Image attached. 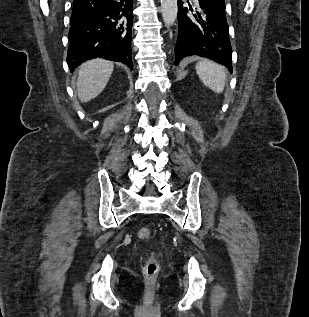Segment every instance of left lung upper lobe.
I'll list each match as a JSON object with an SVG mask.
<instances>
[{
  "instance_id": "1",
  "label": "left lung upper lobe",
  "mask_w": 309,
  "mask_h": 317,
  "mask_svg": "<svg viewBox=\"0 0 309 317\" xmlns=\"http://www.w3.org/2000/svg\"><path fill=\"white\" fill-rule=\"evenodd\" d=\"M212 1L225 4L224 0H212Z\"/></svg>"
}]
</instances>
